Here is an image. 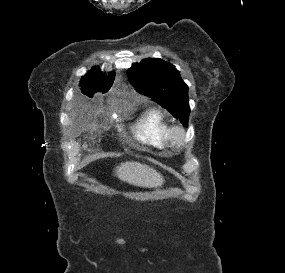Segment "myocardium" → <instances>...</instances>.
Masks as SVG:
<instances>
[{"label": "myocardium", "instance_id": "myocardium-1", "mask_svg": "<svg viewBox=\"0 0 285 273\" xmlns=\"http://www.w3.org/2000/svg\"><path fill=\"white\" fill-rule=\"evenodd\" d=\"M171 140L177 146H184L187 143V132L181 126H174L171 131Z\"/></svg>", "mask_w": 285, "mask_h": 273}]
</instances>
